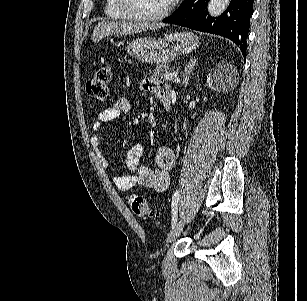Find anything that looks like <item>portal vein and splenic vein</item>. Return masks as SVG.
Masks as SVG:
<instances>
[{
  "label": "portal vein and splenic vein",
  "mask_w": 307,
  "mask_h": 301,
  "mask_svg": "<svg viewBox=\"0 0 307 301\" xmlns=\"http://www.w3.org/2000/svg\"><path fill=\"white\" fill-rule=\"evenodd\" d=\"M165 78H174V82H178L177 72H169V74H164Z\"/></svg>",
  "instance_id": "portal-vein-and-splenic-vein-1"
}]
</instances>
